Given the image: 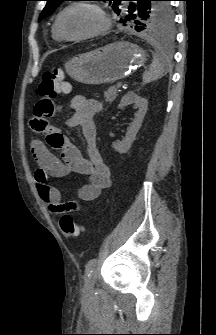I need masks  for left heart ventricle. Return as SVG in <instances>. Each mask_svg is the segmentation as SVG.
<instances>
[{"label": "left heart ventricle", "instance_id": "1", "mask_svg": "<svg viewBox=\"0 0 216 335\" xmlns=\"http://www.w3.org/2000/svg\"><path fill=\"white\" fill-rule=\"evenodd\" d=\"M102 20L91 8L79 6L67 11L60 20L62 31L68 36H79L99 28Z\"/></svg>", "mask_w": 216, "mask_h": 335}]
</instances>
